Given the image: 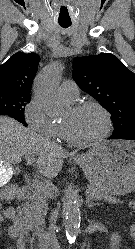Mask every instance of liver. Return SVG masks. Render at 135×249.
Instances as JSON below:
<instances>
[{"instance_id":"liver-1","label":"liver","mask_w":135,"mask_h":249,"mask_svg":"<svg viewBox=\"0 0 135 249\" xmlns=\"http://www.w3.org/2000/svg\"><path fill=\"white\" fill-rule=\"evenodd\" d=\"M74 155L60 145L24 127L13 118L0 116V162L17 164L22 157L38 156L37 168L47 177L54 178L63 166V158ZM6 183L0 178V186Z\"/></svg>"}]
</instances>
